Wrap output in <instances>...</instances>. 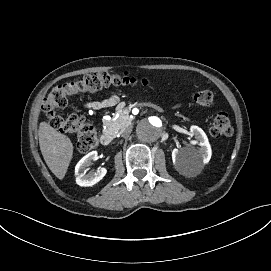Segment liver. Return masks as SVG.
I'll return each mask as SVG.
<instances>
[{
	"mask_svg": "<svg viewBox=\"0 0 271 271\" xmlns=\"http://www.w3.org/2000/svg\"><path fill=\"white\" fill-rule=\"evenodd\" d=\"M38 139L47 166L57 178L63 179L71 160L72 143L45 122L39 124Z\"/></svg>",
	"mask_w": 271,
	"mask_h": 271,
	"instance_id": "liver-1",
	"label": "liver"
}]
</instances>
